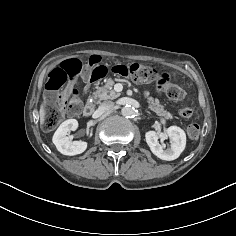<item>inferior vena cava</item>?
<instances>
[{
  "label": "inferior vena cava",
  "instance_id": "inferior-vena-cava-1",
  "mask_svg": "<svg viewBox=\"0 0 236 236\" xmlns=\"http://www.w3.org/2000/svg\"><path fill=\"white\" fill-rule=\"evenodd\" d=\"M113 107L114 103L112 101H104L103 103L100 104L98 109L100 112L105 113L113 109Z\"/></svg>",
  "mask_w": 236,
  "mask_h": 236
}]
</instances>
